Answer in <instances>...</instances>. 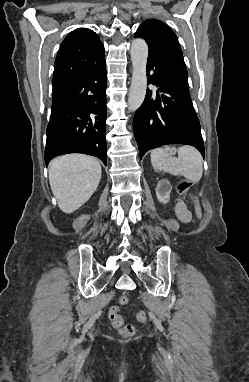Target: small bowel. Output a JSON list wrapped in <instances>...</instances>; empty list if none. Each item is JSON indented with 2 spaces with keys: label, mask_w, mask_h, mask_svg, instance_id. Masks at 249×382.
<instances>
[{
  "label": "small bowel",
  "mask_w": 249,
  "mask_h": 382,
  "mask_svg": "<svg viewBox=\"0 0 249 382\" xmlns=\"http://www.w3.org/2000/svg\"><path fill=\"white\" fill-rule=\"evenodd\" d=\"M176 213L179 219L183 222H188L191 219L190 213L186 210V208L181 203L177 205Z\"/></svg>",
  "instance_id": "c3829d8e"
}]
</instances>
